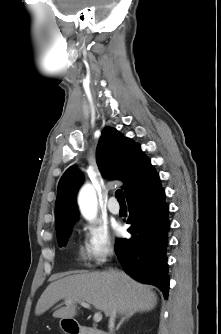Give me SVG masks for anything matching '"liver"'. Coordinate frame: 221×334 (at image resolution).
<instances>
[{
  "label": "liver",
  "mask_w": 221,
  "mask_h": 334,
  "mask_svg": "<svg viewBox=\"0 0 221 334\" xmlns=\"http://www.w3.org/2000/svg\"><path fill=\"white\" fill-rule=\"evenodd\" d=\"M61 299L70 300L65 307L53 313L55 318L62 319H72L76 315L77 302L93 305L106 317L113 312L127 315L150 311L157 303L156 294L148 286L112 268L69 275L52 282L39 298L35 314H43Z\"/></svg>",
  "instance_id": "6515ba94"
}]
</instances>
